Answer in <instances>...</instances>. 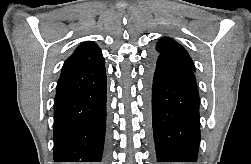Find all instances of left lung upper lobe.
Returning a JSON list of instances; mask_svg holds the SVG:
<instances>
[{
	"mask_svg": "<svg viewBox=\"0 0 251 164\" xmlns=\"http://www.w3.org/2000/svg\"><path fill=\"white\" fill-rule=\"evenodd\" d=\"M154 56L177 61L178 63L195 70L193 61L187 51L171 38L164 37L159 40L156 45Z\"/></svg>",
	"mask_w": 251,
	"mask_h": 164,
	"instance_id": "left-lung-upper-lobe-1",
	"label": "left lung upper lobe"
}]
</instances>
